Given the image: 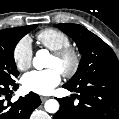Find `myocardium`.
Masks as SVG:
<instances>
[{
	"label": "myocardium",
	"instance_id": "obj_1",
	"mask_svg": "<svg viewBox=\"0 0 119 119\" xmlns=\"http://www.w3.org/2000/svg\"><path fill=\"white\" fill-rule=\"evenodd\" d=\"M52 56L69 62V65L61 71L63 76L71 77L77 72L80 65V55L71 45L52 51Z\"/></svg>",
	"mask_w": 119,
	"mask_h": 119
}]
</instances>
